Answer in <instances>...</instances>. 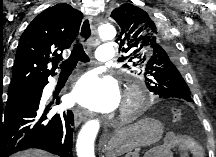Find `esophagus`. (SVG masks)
Here are the masks:
<instances>
[{"mask_svg":"<svg viewBox=\"0 0 216 157\" xmlns=\"http://www.w3.org/2000/svg\"><path fill=\"white\" fill-rule=\"evenodd\" d=\"M95 35H96V29L93 25V17L86 16L81 23L80 33H79L80 39L88 42L91 39V37ZM74 120L76 126H79L83 121L86 120V114L82 108L78 107L75 110Z\"/></svg>","mask_w":216,"mask_h":157,"instance_id":"34e87169","label":"esophagus"}]
</instances>
